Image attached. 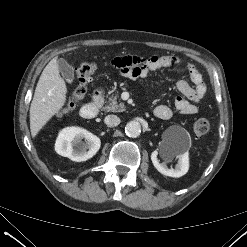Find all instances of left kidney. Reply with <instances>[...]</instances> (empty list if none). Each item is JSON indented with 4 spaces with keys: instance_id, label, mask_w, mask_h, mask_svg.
Wrapping results in <instances>:
<instances>
[{
    "instance_id": "left-kidney-1",
    "label": "left kidney",
    "mask_w": 247,
    "mask_h": 247,
    "mask_svg": "<svg viewBox=\"0 0 247 247\" xmlns=\"http://www.w3.org/2000/svg\"><path fill=\"white\" fill-rule=\"evenodd\" d=\"M187 138L190 139L188 132L185 133ZM161 154L165 159L170 160L173 157L178 159L175 168L169 169L166 165V162L160 163L158 160V151L155 150L151 154V160L154 167L163 175L169 177H181L188 172L189 169V154L188 151H181L175 148L169 147L167 144H161Z\"/></svg>"
}]
</instances>
